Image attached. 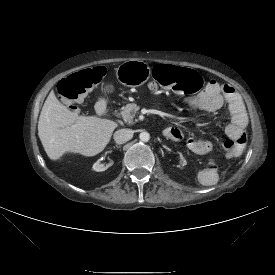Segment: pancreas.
Here are the masks:
<instances>
[{
    "label": "pancreas",
    "instance_id": "cf45deb5",
    "mask_svg": "<svg viewBox=\"0 0 275 275\" xmlns=\"http://www.w3.org/2000/svg\"><path fill=\"white\" fill-rule=\"evenodd\" d=\"M139 106L135 103H129L121 108L120 115L125 122L132 123L136 112L139 110Z\"/></svg>",
    "mask_w": 275,
    "mask_h": 275
}]
</instances>
